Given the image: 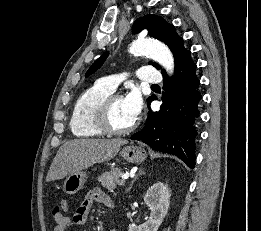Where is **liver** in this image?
<instances>
[{"mask_svg":"<svg viewBox=\"0 0 261 231\" xmlns=\"http://www.w3.org/2000/svg\"><path fill=\"white\" fill-rule=\"evenodd\" d=\"M127 140L75 139L65 142L56 153L46 176V182L60 180L95 163L115 157Z\"/></svg>","mask_w":261,"mask_h":231,"instance_id":"6515ba94","label":"liver"}]
</instances>
